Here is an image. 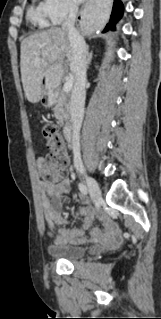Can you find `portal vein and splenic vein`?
I'll return each mask as SVG.
<instances>
[{"mask_svg": "<svg viewBox=\"0 0 161 319\" xmlns=\"http://www.w3.org/2000/svg\"><path fill=\"white\" fill-rule=\"evenodd\" d=\"M72 85H73V79L70 78L64 84V87H63L64 92L68 93L71 90Z\"/></svg>", "mask_w": 161, "mask_h": 319, "instance_id": "1", "label": "portal vein and splenic vein"}]
</instances>
